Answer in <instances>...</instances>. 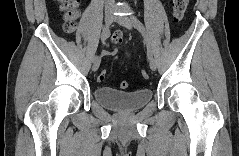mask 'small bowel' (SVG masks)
<instances>
[{
    "label": "small bowel",
    "instance_id": "obj_1",
    "mask_svg": "<svg viewBox=\"0 0 239 156\" xmlns=\"http://www.w3.org/2000/svg\"><path fill=\"white\" fill-rule=\"evenodd\" d=\"M122 41V33L120 31H116L113 35V46L111 49L104 50L102 53L105 56H115L118 52L117 48Z\"/></svg>",
    "mask_w": 239,
    "mask_h": 156
}]
</instances>
